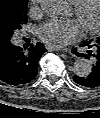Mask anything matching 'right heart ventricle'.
<instances>
[{"instance_id": "1", "label": "right heart ventricle", "mask_w": 100, "mask_h": 118, "mask_svg": "<svg viewBox=\"0 0 100 118\" xmlns=\"http://www.w3.org/2000/svg\"><path fill=\"white\" fill-rule=\"evenodd\" d=\"M70 3H75L76 1H78V0H68Z\"/></svg>"}]
</instances>
